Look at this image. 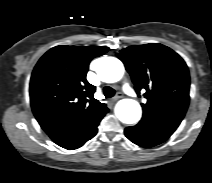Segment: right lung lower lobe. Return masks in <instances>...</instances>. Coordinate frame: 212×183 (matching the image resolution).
<instances>
[{
	"instance_id": "right-lung-lower-lobe-1",
	"label": "right lung lower lobe",
	"mask_w": 212,
	"mask_h": 183,
	"mask_svg": "<svg viewBox=\"0 0 212 183\" xmlns=\"http://www.w3.org/2000/svg\"><path fill=\"white\" fill-rule=\"evenodd\" d=\"M98 124L96 126H94L93 128H91L90 130H88L81 137L60 143L58 145L63 147V148H66V149H70V150L77 149V148L83 146L88 140L92 139L96 135Z\"/></svg>"
}]
</instances>
